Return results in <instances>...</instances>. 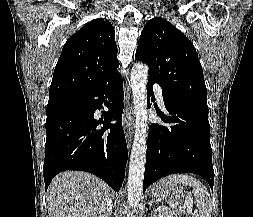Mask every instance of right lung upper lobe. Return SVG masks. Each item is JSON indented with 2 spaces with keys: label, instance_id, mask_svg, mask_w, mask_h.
<instances>
[{
  "label": "right lung upper lobe",
  "instance_id": "1",
  "mask_svg": "<svg viewBox=\"0 0 253 217\" xmlns=\"http://www.w3.org/2000/svg\"><path fill=\"white\" fill-rule=\"evenodd\" d=\"M118 65L113 26L103 18L92 20L65 43L48 102L89 91L117 73Z\"/></svg>",
  "mask_w": 253,
  "mask_h": 217
}]
</instances>
